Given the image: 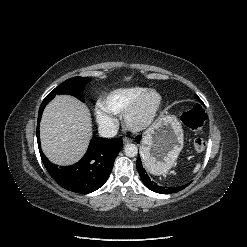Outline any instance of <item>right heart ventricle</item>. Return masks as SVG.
<instances>
[{
    "instance_id": "1",
    "label": "right heart ventricle",
    "mask_w": 247,
    "mask_h": 247,
    "mask_svg": "<svg viewBox=\"0 0 247 247\" xmlns=\"http://www.w3.org/2000/svg\"><path fill=\"white\" fill-rule=\"evenodd\" d=\"M147 90L148 88L139 86L119 88L108 93L101 104L111 114H122L137 97Z\"/></svg>"
}]
</instances>
